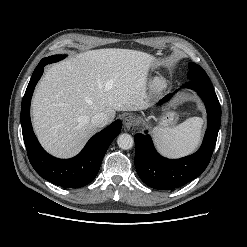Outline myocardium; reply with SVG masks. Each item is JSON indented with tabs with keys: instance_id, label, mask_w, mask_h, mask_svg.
Returning <instances> with one entry per match:
<instances>
[{
	"instance_id": "f54148a6",
	"label": "myocardium",
	"mask_w": 247,
	"mask_h": 247,
	"mask_svg": "<svg viewBox=\"0 0 247 247\" xmlns=\"http://www.w3.org/2000/svg\"><path fill=\"white\" fill-rule=\"evenodd\" d=\"M153 87L156 90L161 91L166 87V81L164 79H162V78H156L153 81Z\"/></svg>"
}]
</instances>
